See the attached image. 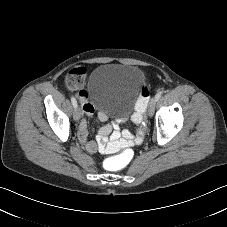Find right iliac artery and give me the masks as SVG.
Returning <instances> with one entry per match:
<instances>
[{"label": "right iliac artery", "mask_w": 227, "mask_h": 227, "mask_svg": "<svg viewBox=\"0 0 227 227\" xmlns=\"http://www.w3.org/2000/svg\"><path fill=\"white\" fill-rule=\"evenodd\" d=\"M71 102H72V105L74 106V108L77 107V101L74 97L71 98Z\"/></svg>", "instance_id": "right-iliac-artery-1"}]
</instances>
